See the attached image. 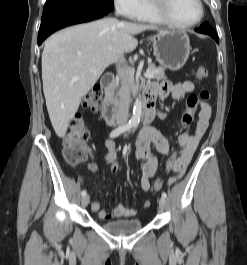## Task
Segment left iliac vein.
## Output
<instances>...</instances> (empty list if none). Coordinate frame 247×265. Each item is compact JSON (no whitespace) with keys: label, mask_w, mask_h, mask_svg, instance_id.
<instances>
[{"label":"left iliac vein","mask_w":247,"mask_h":265,"mask_svg":"<svg viewBox=\"0 0 247 265\" xmlns=\"http://www.w3.org/2000/svg\"><path fill=\"white\" fill-rule=\"evenodd\" d=\"M165 207H166V199L163 198V197H161V198L159 199V209H160L161 211H163V210L165 209Z\"/></svg>","instance_id":"obj_1"}]
</instances>
